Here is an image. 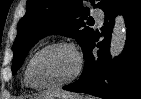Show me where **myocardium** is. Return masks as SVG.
I'll return each instance as SVG.
<instances>
[{
    "label": "myocardium",
    "instance_id": "1",
    "mask_svg": "<svg viewBox=\"0 0 141 99\" xmlns=\"http://www.w3.org/2000/svg\"><path fill=\"white\" fill-rule=\"evenodd\" d=\"M58 47H65V48L70 49L73 52V54L76 58L75 71L73 72V74L71 76H69L68 78H66L60 82H56V83H52V84H44V85H39V84L34 83L31 78V68H32L34 61L43 52H45L49 49L58 48ZM83 66H84V63H83L82 55L74 43L69 42V41H57V42H53V43H50V44L42 47L32 56V58L30 59L28 65L26 67L25 77H26L28 84L34 89L43 90V89L59 88V87L65 86V85L70 84L73 81H75L81 75V73L83 71Z\"/></svg>",
    "mask_w": 141,
    "mask_h": 99
}]
</instances>
